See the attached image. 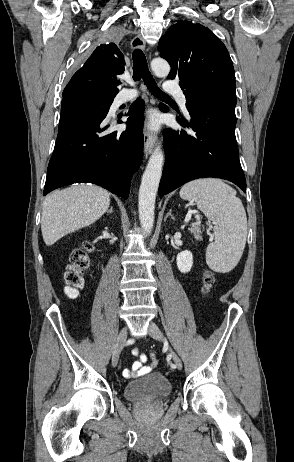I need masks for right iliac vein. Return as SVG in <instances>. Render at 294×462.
<instances>
[{"mask_svg": "<svg viewBox=\"0 0 294 462\" xmlns=\"http://www.w3.org/2000/svg\"><path fill=\"white\" fill-rule=\"evenodd\" d=\"M126 339H127V327H123L117 337V341H116L115 347L112 352V366L113 367H116L118 363L119 356L126 343Z\"/></svg>", "mask_w": 294, "mask_h": 462, "instance_id": "right-iliac-vein-1", "label": "right iliac vein"}]
</instances>
